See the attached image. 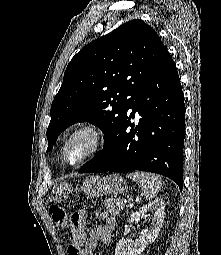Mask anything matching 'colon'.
Here are the masks:
<instances>
[{
	"label": "colon",
	"instance_id": "colon-1",
	"mask_svg": "<svg viewBox=\"0 0 221 255\" xmlns=\"http://www.w3.org/2000/svg\"><path fill=\"white\" fill-rule=\"evenodd\" d=\"M50 216L55 225L62 229L70 228L71 231L79 233L85 228V213L78 211L73 213L70 217L67 216L66 211L57 205L49 207Z\"/></svg>",
	"mask_w": 221,
	"mask_h": 255
}]
</instances>
